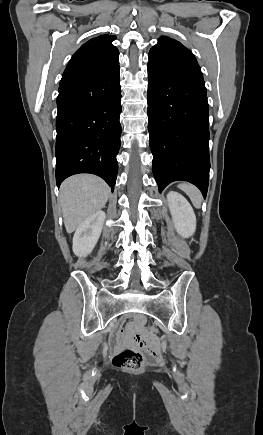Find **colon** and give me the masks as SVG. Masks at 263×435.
<instances>
[{
  "mask_svg": "<svg viewBox=\"0 0 263 435\" xmlns=\"http://www.w3.org/2000/svg\"><path fill=\"white\" fill-rule=\"evenodd\" d=\"M146 328L158 335V330H155L152 324H147ZM112 363L114 366L127 371H138L143 367L144 358L139 351L124 349L114 355Z\"/></svg>",
  "mask_w": 263,
  "mask_h": 435,
  "instance_id": "5ec220e1",
  "label": "colon"
}]
</instances>
